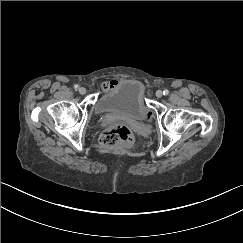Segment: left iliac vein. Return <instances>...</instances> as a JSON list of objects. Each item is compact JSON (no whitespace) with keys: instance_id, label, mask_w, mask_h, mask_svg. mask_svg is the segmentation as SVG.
Listing matches in <instances>:
<instances>
[{"instance_id":"obj_1","label":"left iliac vein","mask_w":243,"mask_h":243,"mask_svg":"<svg viewBox=\"0 0 243 243\" xmlns=\"http://www.w3.org/2000/svg\"><path fill=\"white\" fill-rule=\"evenodd\" d=\"M163 96V92L161 90L156 91V97L161 98Z\"/></svg>"}]
</instances>
